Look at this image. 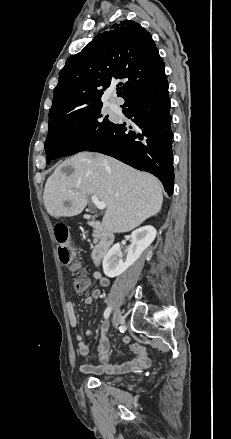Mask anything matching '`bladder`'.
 Returning a JSON list of instances; mask_svg holds the SVG:
<instances>
[{"instance_id": "obj_1", "label": "bladder", "mask_w": 231, "mask_h": 439, "mask_svg": "<svg viewBox=\"0 0 231 439\" xmlns=\"http://www.w3.org/2000/svg\"><path fill=\"white\" fill-rule=\"evenodd\" d=\"M120 380H121V378L118 377V376H114V377H110V378H109V381L112 382V383H117V382H119Z\"/></svg>"}]
</instances>
